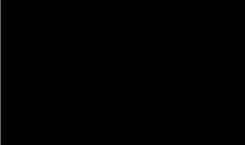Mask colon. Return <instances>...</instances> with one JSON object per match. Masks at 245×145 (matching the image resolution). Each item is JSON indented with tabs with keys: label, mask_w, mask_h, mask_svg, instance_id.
I'll return each instance as SVG.
<instances>
[{
	"label": "colon",
	"mask_w": 245,
	"mask_h": 145,
	"mask_svg": "<svg viewBox=\"0 0 245 145\" xmlns=\"http://www.w3.org/2000/svg\"><path fill=\"white\" fill-rule=\"evenodd\" d=\"M213 74V61L210 52L206 49L202 58L200 59L197 68L192 73V78L201 87H207Z\"/></svg>",
	"instance_id": "5ec220e1"
}]
</instances>
